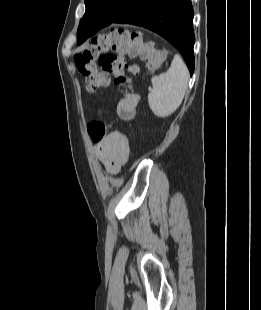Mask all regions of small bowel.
<instances>
[{"label": "small bowel", "instance_id": "obj_1", "mask_svg": "<svg viewBox=\"0 0 261 310\" xmlns=\"http://www.w3.org/2000/svg\"><path fill=\"white\" fill-rule=\"evenodd\" d=\"M140 97L137 93H127L117 104V113L123 120H131L136 113ZM95 153L97 158L111 173L118 172L127 162L131 145L129 138L118 131L106 134L103 138L95 140Z\"/></svg>", "mask_w": 261, "mask_h": 310}]
</instances>
